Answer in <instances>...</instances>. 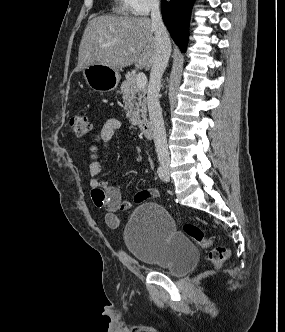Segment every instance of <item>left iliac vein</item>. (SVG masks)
<instances>
[{"label":"left iliac vein","mask_w":285,"mask_h":332,"mask_svg":"<svg viewBox=\"0 0 285 332\" xmlns=\"http://www.w3.org/2000/svg\"><path fill=\"white\" fill-rule=\"evenodd\" d=\"M165 174H166V181H169L170 179L169 171L165 170Z\"/></svg>","instance_id":"obj_1"}]
</instances>
